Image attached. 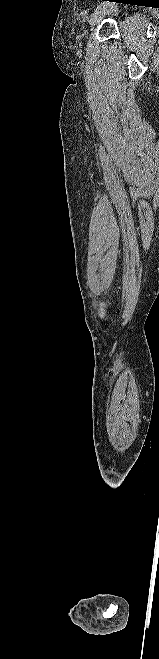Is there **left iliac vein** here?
Listing matches in <instances>:
<instances>
[{"label": "left iliac vein", "instance_id": "1", "mask_svg": "<svg viewBox=\"0 0 159 659\" xmlns=\"http://www.w3.org/2000/svg\"><path fill=\"white\" fill-rule=\"evenodd\" d=\"M109 12L110 7L108 4H105L103 7L96 10L90 18V25L92 27L97 26Z\"/></svg>", "mask_w": 159, "mask_h": 659}]
</instances>
